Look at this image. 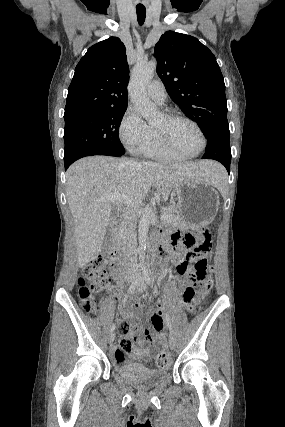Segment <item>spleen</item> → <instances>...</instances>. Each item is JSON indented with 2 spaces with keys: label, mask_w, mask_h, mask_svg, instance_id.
Masks as SVG:
<instances>
[{
  "label": "spleen",
  "mask_w": 285,
  "mask_h": 427,
  "mask_svg": "<svg viewBox=\"0 0 285 427\" xmlns=\"http://www.w3.org/2000/svg\"><path fill=\"white\" fill-rule=\"evenodd\" d=\"M213 186L218 188L221 192H224L226 190V188H227V174H226L223 167L216 170V180H215Z\"/></svg>",
  "instance_id": "spleen-1"
}]
</instances>
